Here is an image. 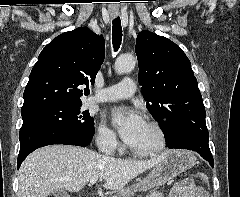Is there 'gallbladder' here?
Returning a JSON list of instances; mask_svg holds the SVG:
<instances>
[{
  "label": "gallbladder",
  "instance_id": "1",
  "mask_svg": "<svg viewBox=\"0 0 240 197\" xmlns=\"http://www.w3.org/2000/svg\"><path fill=\"white\" fill-rule=\"evenodd\" d=\"M54 197H70L65 191H57L53 193Z\"/></svg>",
  "mask_w": 240,
  "mask_h": 197
}]
</instances>
